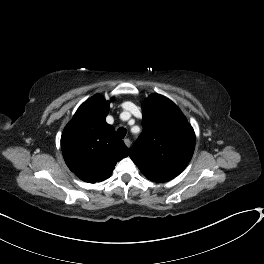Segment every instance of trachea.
<instances>
[{
  "label": "trachea",
  "instance_id": "obj_1",
  "mask_svg": "<svg viewBox=\"0 0 264 264\" xmlns=\"http://www.w3.org/2000/svg\"><path fill=\"white\" fill-rule=\"evenodd\" d=\"M126 133H127V129L126 128H123V127H120L118 130H117V135L119 138L123 139L125 136H126Z\"/></svg>",
  "mask_w": 264,
  "mask_h": 264
}]
</instances>
